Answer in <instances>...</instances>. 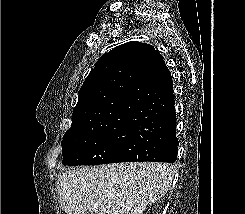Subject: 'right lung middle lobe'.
I'll use <instances>...</instances> for the list:
<instances>
[{"instance_id": "obj_1", "label": "right lung middle lobe", "mask_w": 245, "mask_h": 214, "mask_svg": "<svg viewBox=\"0 0 245 214\" xmlns=\"http://www.w3.org/2000/svg\"><path fill=\"white\" fill-rule=\"evenodd\" d=\"M128 132L126 125L90 131H67L63 136L64 166L99 165L118 161V147Z\"/></svg>"}]
</instances>
